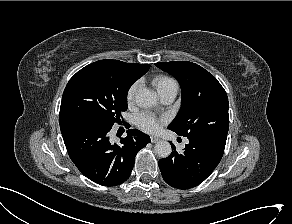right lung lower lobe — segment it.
I'll use <instances>...</instances> for the list:
<instances>
[{"instance_id":"obj_1","label":"right lung lower lobe","mask_w":292,"mask_h":224,"mask_svg":"<svg viewBox=\"0 0 292 224\" xmlns=\"http://www.w3.org/2000/svg\"><path fill=\"white\" fill-rule=\"evenodd\" d=\"M67 152L91 181L103 186H116L131 175L137 152L150 142L143 132L130 129L119 144L109 140L111 128L78 116L59 119Z\"/></svg>"}]
</instances>
